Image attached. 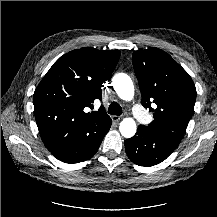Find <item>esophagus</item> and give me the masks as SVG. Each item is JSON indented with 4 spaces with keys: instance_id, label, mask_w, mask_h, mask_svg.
Wrapping results in <instances>:
<instances>
[{
    "instance_id": "1",
    "label": "esophagus",
    "mask_w": 217,
    "mask_h": 217,
    "mask_svg": "<svg viewBox=\"0 0 217 217\" xmlns=\"http://www.w3.org/2000/svg\"><path fill=\"white\" fill-rule=\"evenodd\" d=\"M112 120H113L114 122H117V121L120 120V117H118V116H112Z\"/></svg>"
}]
</instances>
